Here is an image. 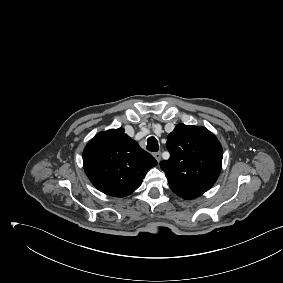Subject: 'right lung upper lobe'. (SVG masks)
<instances>
[{
  "mask_svg": "<svg viewBox=\"0 0 283 283\" xmlns=\"http://www.w3.org/2000/svg\"><path fill=\"white\" fill-rule=\"evenodd\" d=\"M83 165L98 190L126 197L141 185L157 161L119 128L100 132L90 140L83 152Z\"/></svg>",
  "mask_w": 283,
  "mask_h": 283,
  "instance_id": "1",
  "label": "right lung upper lobe"
}]
</instances>
